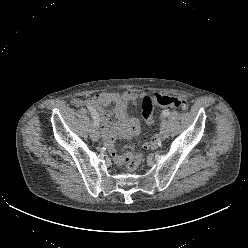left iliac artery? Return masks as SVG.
I'll return each instance as SVG.
<instances>
[{
  "instance_id": "44dca946",
  "label": "left iliac artery",
  "mask_w": 248,
  "mask_h": 248,
  "mask_svg": "<svg viewBox=\"0 0 248 248\" xmlns=\"http://www.w3.org/2000/svg\"><path fill=\"white\" fill-rule=\"evenodd\" d=\"M169 114H170V110H169V109H165V110H163V112H162V115H163L164 117L169 116Z\"/></svg>"
}]
</instances>
